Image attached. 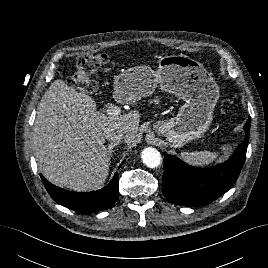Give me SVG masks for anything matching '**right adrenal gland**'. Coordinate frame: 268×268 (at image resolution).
<instances>
[{
	"label": "right adrenal gland",
	"mask_w": 268,
	"mask_h": 268,
	"mask_svg": "<svg viewBox=\"0 0 268 268\" xmlns=\"http://www.w3.org/2000/svg\"><path fill=\"white\" fill-rule=\"evenodd\" d=\"M117 145H118V143H111V144L108 145L107 156H108L109 159H111L112 152L114 151L113 149Z\"/></svg>",
	"instance_id": "2a0ac1e0"
}]
</instances>
